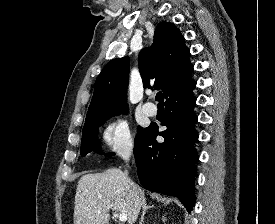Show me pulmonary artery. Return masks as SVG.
Masks as SVG:
<instances>
[{
	"label": "pulmonary artery",
	"instance_id": "obj_1",
	"mask_svg": "<svg viewBox=\"0 0 275 224\" xmlns=\"http://www.w3.org/2000/svg\"><path fill=\"white\" fill-rule=\"evenodd\" d=\"M143 112L147 115V116H154L157 113V108L153 103H145L142 107Z\"/></svg>",
	"mask_w": 275,
	"mask_h": 224
}]
</instances>
